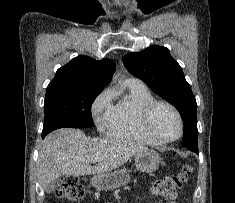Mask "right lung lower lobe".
<instances>
[{"label":"right lung lower lobe","mask_w":235,"mask_h":203,"mask_svg":"<svg viewBox=\"0 0 235 203\" xmlns=\"http://www.w3.org/2000/svg\"><path fill=\"white\" fill-rule=\"evenodd\" d=\"M47 134H42V138H44Z\"/></svg>","instance_id":"obj_1"}]
</instances>
